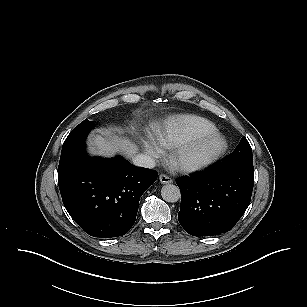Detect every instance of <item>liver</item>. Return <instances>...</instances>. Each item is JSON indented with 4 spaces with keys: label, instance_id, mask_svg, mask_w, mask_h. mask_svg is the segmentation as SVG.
Segmentation results:
<instances>
[{
    "label": "liver",
    "instance_id": "liver-1",
    "mask_svg": "<svg viewBox=\"0 0 307 307\" xmlns=\"http://www.w3.org/2000/svg\"><path fill=\"white\" fill-rule=\"evenodd\" d=\"M88 144L93 154L105 157L113 156L119 152L127 158H133L138 152V146L134 142L112 132H106L105 135L95 134L89 138Z\"/></svg>",
    "mask_w": 307,
    "mask_h": 307
}]
</instances>
